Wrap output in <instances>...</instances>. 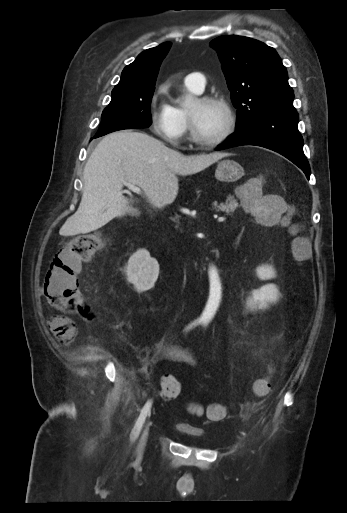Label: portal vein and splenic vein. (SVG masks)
Masks as SVG:
<instances>
[{
    "mask_svg": "<svg viewBox=\"0 0 347 513\" xmlns=\"http://www.w3.org/2000/svg\"><path fill=\"white\" fill-rule=\"evenodd\" d=\"M129 190L133 191V192H136V193H140L141 192V189L138 187V186H135L131 183H124ZM226 220L225 217H219L218 218V222H224Z\"/></svg>",
    "mask_w": 347,
    "mask_h": 513,
    "instance_id": "obj_1",
    "label": "portal vein and splenic vein"
}]
</instances>
